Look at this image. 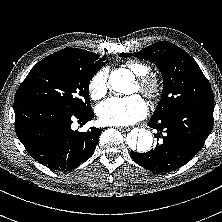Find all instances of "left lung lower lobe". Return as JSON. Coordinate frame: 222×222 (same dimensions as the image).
<instances>
[{
	"label": "left lung lower lobe",
	"mask_w": 222,
	"mask_h": 222,
	"mask_svg": "<svg viewBox=\"0 0 222 222\" xmlns=\"http://www.w3.org/2000/svg\"><path fill=\"white\" fill-rule=\"evenodd\" d=\"M213 111V106L190 105L159 118L151 117L148 125L159 132L156 137H162L163 142L147 153L131 151V158L160 173L183 166L203 147L213 128Z\"/></svg>",
	"instance_id": "0a47b994"
}]
</instances>
